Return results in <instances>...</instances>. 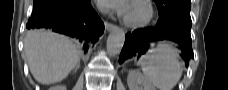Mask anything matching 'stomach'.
Here are the masks:
<instances>
[{
  "label": "stomach",
  "mask_w": 228,
  "mask_h": 90,
  "mask_svg": "<svg viewBox=\"0 0 228 90\" xmlns=\"http://www.w3.org/2000/svg\"><path fill=\"white\" fill-rule=\"evenodd\" d=\"M153 50H154V48H153L152 46H150V47L148 48V50H147L142 56H140V57L138 58V63L141 64L142 61L144 60V58H145L146 56L150 55V54L153 52Z\"/></svg>",
  "instance_id": "1"
}]
</instances>
